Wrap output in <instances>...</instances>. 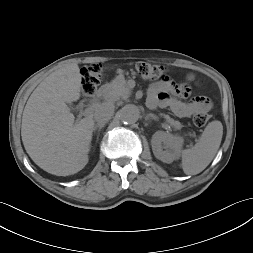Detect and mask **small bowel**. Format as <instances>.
Returning a JSON list of instances; mask_svg holds the SVG:
<instances>
[{
	"label": "small bowel",
	"instance_id": "obj_1",
	"mask_svg": "<svg viewBox=\"0 0 253 253\" xmlns=\"http://www.w3.org/2000/svg\"><path fill=\"white\" fill-rule=\"evenodd\" d=\"M122 74L121 70H117L116 78L119 79ZM189 93L190 90L186 85L176 84L169 78H163L150 85L147 104L150 108H170L176 116L181 118H189L211 108L210 100L204 96H196L189 101H181L177 98H186Z\"/></svg>",
	"mask_w": 253,
	"mask_h": 253
}]
</instances>
